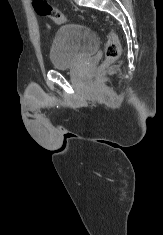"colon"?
<instances>
[{"label":"colon","instance_id":"1","mask_svg":"<svg viewBox=\"0 0 163 235\" xmlns=\"http://www.w3.org/2000/svg\"><path fill=\"white\" fill-rule=\"evenodd\" d=\"M32 3L39 15L48 17L57 24H64L66 22L65 15L46 0H32ZM120 50L118 36L114 32H109L105 47L104 64L107 65L117 61L120 57Z\"/></svg>","mask_w":163,"mask_h":235}]
</instances>
